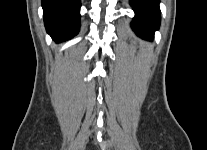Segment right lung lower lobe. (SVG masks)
<instances>
[{"mask_svg": "<svg viewBox=\"0 0 207 150\" xmlns=\"http://www.w3.org/2000/svg\"><path fill=\"white\" fill-rule=\"evenodd\" d=\"M47 33L57 43L70 39L80 27V0H42Z\"/></svg>", "mask_w": 207, "mask_h": 150, "instance_id": "right-lung-lower-lobe-1", "label": "right lung lower lobe"}]
</instances>
